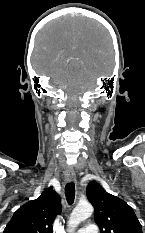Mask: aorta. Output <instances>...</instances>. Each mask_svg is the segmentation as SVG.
Segmentation results:
<instances>
[{
    "instance_id": "aorta-1",
    "label": "aorta",
    "mask_w": 145,
    "mask_h": 233,
    "mask_svg": "<svg viewBox=\"0 0 145 233\" xmlns=\"http://www.w3.org/2000/svg\"><path fill=\"white\" fill-rule=\"evenodd\" d=\"M93 206L90 203L78 204L70 215L68 228L74 233L75 228L93 214Z\"/></svg>"
}]
</instances>
